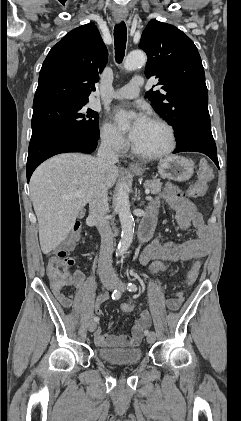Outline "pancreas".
I'll list each match as a JSON object with an SVG mask.
<instances>
[{"label":"pancreas","mask_w":241,"mask_h":421,"mask_svg":"<svg viewBox=\"0 0 241 421\" xmlns=\"http://www.w3.org/2000/svg\"><path fill=\"white\" fill-rule=\"evenodd\" d=\"M144 186L149 188L152 194H158L161 192L162 189V183L159 179L146 181Z\"/></svg>","instance_id":"obj_1"}]
</instances>
